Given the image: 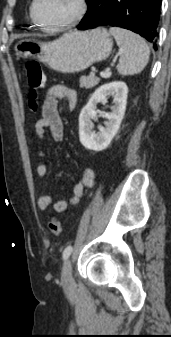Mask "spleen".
<instances>
[{"label": "spleen", "instance_id": "3e777b00", "mask_svg": "<svg viewBox=\"0 0 171 337\" xmlns=\"http://www.w3.org/2000/svg\"><path fill=\"white\" fill-rule=\"evenodd\" d=\"M109 32L114 36L117 45L122 49L117 70L120 75L140 73L147 65L150 49L139 35L119 27H111Z\"/></svg>", "mask_w": 171, "mask_h": 337}]
</instances>
